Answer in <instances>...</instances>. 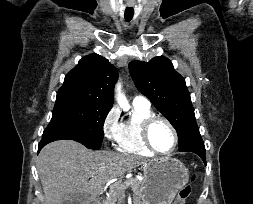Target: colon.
Listing matches in <instances>:
<instances>
[{
	"label": "colon",
	"mask_w": 253,
	"mask_h": 204,
	"mask_svg": "<svg viewBox=\"0 0 253 204\" xmlns=\"http://www.w3.org/2000/svg\"><path fill=\"white\" fill-rule=\"evenodd\" d=\"M195 179H196V176L193 175L192 181H194ZM191 191H192V188L190 184H187L181 187L180 190L178 191L177 197L173 204H185L191 195Z\"/></svg>",
	"instance_id": "obj_1"
}]
</instances>
